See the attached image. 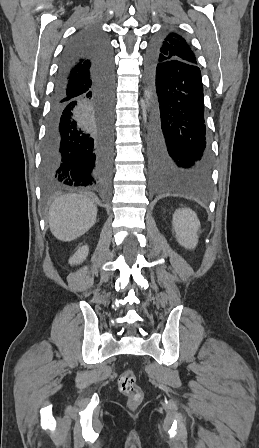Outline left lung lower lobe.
Masks as SVG:
<instances>
[{
  "label": "left lung lower lobe",
  "mask_w": 259,
  "mask_h": 448,
  "mask_svg": "<svg viewBox=\"0 0 259 448\" xmlns=\"http://www.w3.org/2000/svg\"><path fill=\"white\" fill-rule=\"evenodd\" d=\"M146 59L153 96L149 133L151 179L155 189L202 192L209 187L212 168L204 115L201 72L179 60L158 61L152 51Z\"/></svg>",
  "instance_id": "obj_1"
}]
</instances>
